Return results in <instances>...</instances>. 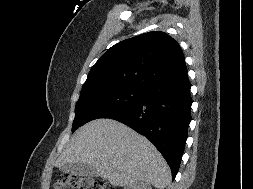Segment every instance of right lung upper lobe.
<instances>
[{
    "instance_id": "obj_1",
    "label": "right lung upper lobe",
    "mask_w": 253,
    "mask_h": 189,
    "mask_svg": "<svg viewBox=\"0 0 253 189\" xmlns=\"http://www.w3.org/2000/svg\"><path fill=\"white\" fill-rule=\"evenodd\" d=\"M188 78L183 52L168 34L153 31L123 40L96 62L81 93L109 86L147 91Z\"/></svg>"
}]
</instances>
